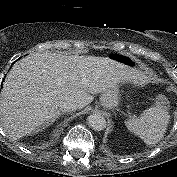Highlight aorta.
<instances>
[{"label": "aorta", "mask_w": 177, "mask_h": 177, "mask_svg": "<svg viewBox=\"0 0 177 177\" xmlns=\"http://www.w3.org/2000/svg\"><path fill=\"white\" fill-rule=\"evenodd\" d=\"M88 124L94 130L101 131L106 128V119L100 114H92L87 118Z\"/></svg>", "instance_id": "762f6f07"}]
</instances>
